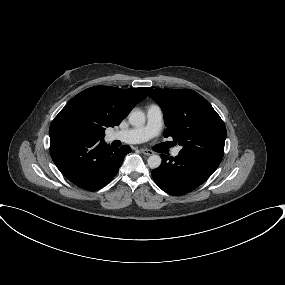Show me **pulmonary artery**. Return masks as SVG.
<instances>
[{
  "label": "pulmonary artery",
  "instance_id": "pulmonary-artery-1",
  "mask_svg": "<svg viewBox=\"0 0 285 285\" xmlns=\"http://www.w3.org/2000/svg\"><path fill=\"white\" fill-rule=\"evenodd\" d=\"M163 126V112L160 106L152 104L147 108V121L144 125L125 130L113 131L108 135L110 141L119 140L128 144H138L157 135ZM181 147L172 151L173 156L180 154Z\"/></svg>",
  "mask_w": 285,
  "mask_h": 285
}]
</instances>
